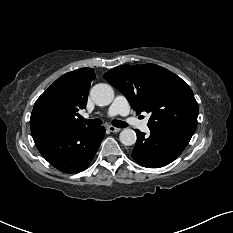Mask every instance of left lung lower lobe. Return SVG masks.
Masks as SVG:
<instances>
[{
    "mask_svg": "<svg viewBox=\"0 0 233 233\" xmlns=\"http://www.w3.org/2000/svg\"><path fill=\"white\" fill-rule=\"evenodd\" d=\"M137 142L131 156L143 167L159 168L175 160L189 143L191 136L170 131L150 130L145 136L136 130Z\"/></svg>",
    "mask_w": 233,
    "mask_h": 233,
    "instance_id": "left-lung-lower-lobe-1",
    "label": "left lung lower lobe"
}]
</instances>
